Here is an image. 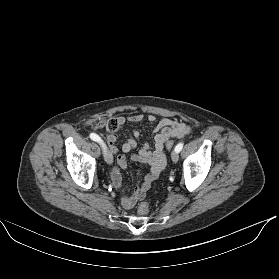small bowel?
<instances>
[{
	"label": "small bowel",
	"instance_id": "1",
	"mask_svg": "<svg viewBox=\"0 0 279 279\" xmlns=\"http://www.w3.org/2000/svg\"><path fill=\"white\" fill-rule=\"evenodd\" d=\"M144 120L152 123L156 121V117L152 114L146 117L143 114H135L128 116L127 118L120 117L118 122L120 125H123L126 121L138 123ZM154 132V148L151 150L148 144H144L138 153L133 154L130 157V160L132 161H138L150 166L149 174L145 176L143 183L136 187L132 196H127L125 193L126 190L122 183L119 168L111 167L109 169V175L114 187L123 194L122 206L124 209H131L138 200L144 198L152 182L157 179L162 172L166 165V156L164 152L165 143L170 139H179L186 136L190 132V127L183 122L172 120L167 117H161L158 120ZM139 136L140 133L134 131L132 136L123 144L122 151L124 154H119L117 156V164L119 167L124 168L127 166L128 158L125 154L130 153L137 146V139ZM106 139L111 153L117 154L118 148L116 145V136L107 133Z\"/></svg>",
	"mask_w": 279,
	"mask_h": 279
}]
</instances>
